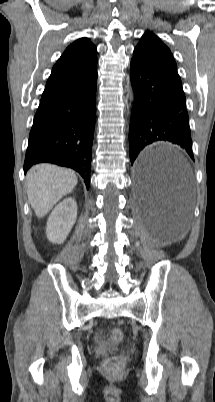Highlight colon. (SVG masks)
I'll list each match as a JSON object with an SVG mask.
<instances>
[{
  "label": "colon",
  "instance_id": "5ec220e1",
  "mask_svg": "<svg viewBox=\"0 0 215 402\" xmlns=\"http://www.w3.org/2000/svg\"><path fill=\"white\" fill-rule=\"evenodd\" d=\"M107 341L111 344H118L123 339V333L120 329H111L106 337ZM125 364V357L123 355H114L107 358L104 362V368L109 374L119 373Z\"/></svg>",
  "mask_w": 215,
  "mask_h": 402
}]
</instances>
